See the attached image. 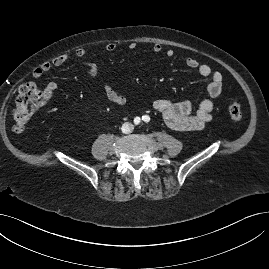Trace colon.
<instances>
[{"label": "colon", "mask_w": 269, "mask_h": 269, "mask_svg": "<svg viewBox=\"0 0 269 269\" xmlns=\"http://www.w3.org/2000/svg\"><path fill=\"white\" fill-rule=\"evenodd\" d=\"M43 104V92L33 82L22 84L14 100L12 110L13 127L16 132H21L30 122L34 112ZM229 115L235 122L242 119V108L234 95L229 105Z\"/></svg>", "instance_id": "obj_1"}]
</instances>
